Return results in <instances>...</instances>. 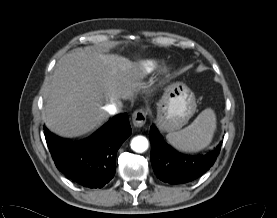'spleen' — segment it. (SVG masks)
Returning a JSON list of instances; mask_svg holds the SVG:
<instances>
[{
  "instance_id": "spleen-1",
  "label": "spleen",
  "mask_w": 277,
  "mask_h": 218,
  "mask_svg": "<svg viewBox=\"0 0 277 218\" xmlns=\"http://www.w3.org/2000/svg\"><path fill=\"white\" fill-rule=\"evenodd\" d=\"M215 129V112L211 108H207L189 126L167 134L166 138L178 150L199 151L211 143Z\"/></svg>"
}]
</instances>
